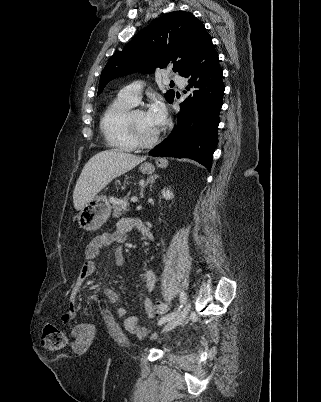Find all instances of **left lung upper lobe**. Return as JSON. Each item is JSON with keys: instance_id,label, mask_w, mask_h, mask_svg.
<instances>
[{"instance_id": "left-lung-upper-lobe-1", "label": "left lung upper lobe", "mask_w": 321, "mask_h": 402, "mask_svg": "<svg viewBox=\"0 0 321 402\" xmlns=\"http://www.w3.org/2000/svg\"><path fill=\"white\" fill-rule=\"evenodd\" d=\"M209 39L203 23L192 13H167L113 54L101 73L97 95L112 79L137 71L151 73L156 68L172 67L182 75ZM164 96L171 103L174 92L169 90Z\"/></svg>"}]
</instances>
